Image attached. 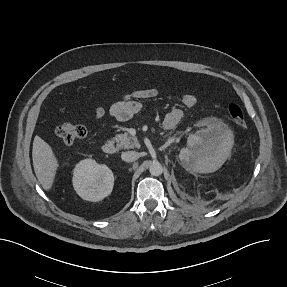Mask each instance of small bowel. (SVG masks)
Segmentation results:
<instances>
[{
  "mask_svg": "<svg viewBox=\"0 0 287 287\" xmlns=\"http://www.w3.org/2000/svg\"><path fill=\"white\" fill-rule=\"evenodd\" d=\"M157 95L155 88H142L124 94L119 100H117L110 108V113L116 119L120 121H127L133 116L138 114L141 110V100L151 99ZM182 103L186 107H193L197 98L193 93L186 92L182 95ZM105 115V110L102 107H98L95 110V118L101 119ZM183 111L179 108L171 109L163 120V127L165 129L174 128L182 119Z\"/></svg>",
  "mask_w": 287,
  "mask_h": 287,
  "instance_id": "small-bowel-1",
  "label": "small bowel"
}]
</instances>
